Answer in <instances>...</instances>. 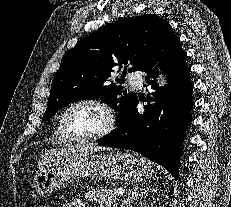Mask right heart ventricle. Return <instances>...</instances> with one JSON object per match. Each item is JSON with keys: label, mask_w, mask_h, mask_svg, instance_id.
Wrapping results in <instances>:
<instances>
[{"label": "right heart ventricle", "mask_w": 231, "mask_h": 207, "mask_svg": "<svg viewBox=\"0 0 231 207\" xmlns=\"http://www.w3.org/2000/svg\"><path fill=\"white\" fill-rule=\"evenodd\" d=\"M55 136L58 140L59 143L61 144H67L70 141L68 139H66L61 131V127H60V123L58 122L56 130H55Z\"/></svg>", "instance_id": "obj_1"}]
</instances>
